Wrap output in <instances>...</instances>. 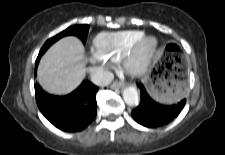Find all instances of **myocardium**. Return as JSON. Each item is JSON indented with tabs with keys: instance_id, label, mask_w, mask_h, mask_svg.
<instances>
[{
	"instance_id": "myocardium-1",
	"label": "myocardium",
	"mask_w": 225,
	"mask_h": 155,
	"mask_svg": "<svg viewBox=\"0 0 225 155\" xmlns=\"http://www.w3.org/2000/svg\"><path fill=\"white\" fill-rule=\"evenodd\" d=\"M159 48V41L153 35H144L124 57L126 70L135 76L146 73Z\"/></svg>"
}]
</instances>
